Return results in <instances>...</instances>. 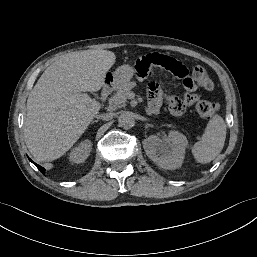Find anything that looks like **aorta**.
Returning <instances> with one entry per match:
<instances>
[{"label":"aorta","instance_id":"762f6f07","mask_svg":"<svg viewBox=\"0 0 257 257\" xmlns=\"http://www.w3.org/2000/svg\"><path fill=\"white\" fill-rule=\"evenodd\" d=\"M118 123L120 127H123L125 129H129L134 125V118L132 114L128 111H123L118 116Z\"/></svg>","mask_w":257,"mask_h":257}]
</instances>
